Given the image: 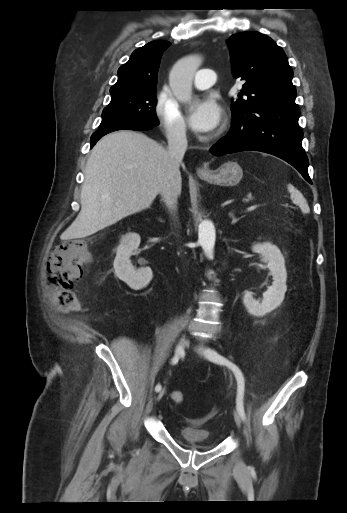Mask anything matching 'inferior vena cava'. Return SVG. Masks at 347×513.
I'll use <instances>...</instances> for the list:
<instances>
[{
  "label": "inferior vena cava",
  "mask_w": 347,
  "mask_h": 513,
  "mask_svg": "<svg viewBox=\"0 0 347 513\" xmlns=\"http://www.w3.org/2000/svg\"><path fill=\"white\" fill-rule=\"evenodd\" d=\"M169 168L173 174H180L179 167L187 150L188 142L184 127L174 128L167 134ZM162 200L171 212L177 210V191L172 182L165 184L161 190Z\"/></svg>",
  "instance_id": "1"
}]
</instances>
